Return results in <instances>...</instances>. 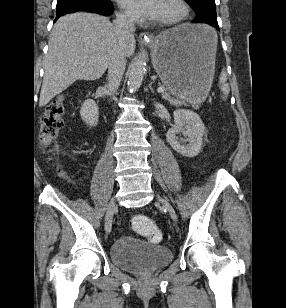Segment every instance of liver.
Returning a JSON list of instances; mask_svg holds the SVG:
<instances>
[{"label": "liver", "mask_w": 286, "mask_h": 308, "mask_svg": "<svg viewBox=\"0 0 286 308\" xmlns=\"http://www.w3.org/2000/svg\"><path fill=\"white\" fill-rule=\"evenodd\" d=\"M39 106L43 107L77 80L99 79L118 51L136 48L134 36H122L108 18L78 12L60 17L49 38Z\"/></svg>", "instance_id": "6515ba94"}]
</instances>
